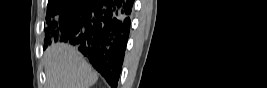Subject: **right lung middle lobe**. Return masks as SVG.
Masks as SVG:
<instances>
[{
    "instance_id": "right-lung-middle-lobe-1",
    "label": "right lung middle lobe",
    "mask_w": 267,
    "mask_h": 88,
    "mask_svg": "<svg viewBox=\"0 0 267 88\" xmlns=\"http://www.w3.org/2000/svg\"><path fill=\"white\" fill-rule=\"evenodd\" d=\"M74 0H49L47 5V16L46 19H48V22H50L52 19L56 18V16L62 12L64 9H66L68 6H70L73 3ZM46 37L45 42L49 40V32L45 30Z\"/></svg>"
}]
</instances>
